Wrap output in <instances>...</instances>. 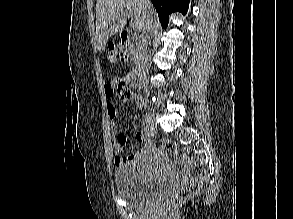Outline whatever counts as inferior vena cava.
Instances as JSON below:
<instances>
[{
  "instance_id": "1",
  "label": "inferior vena cava",
  "mask_w": 293,
  "mask_h": 219,
  "mask_svg": "<svg viewBox=\"0 0 293 219\" xmlns=\"http://www.w3.org/2000/svg\"><path fill=\"white\" fill-rule=\"evenodd\" d=\"M142 2L146 9H150L151 7L150 0H142ZM145 17H146L145 25L140 35V52H139V61L137 66V73L141 77H146L151 66V59L149 56V46L151 44L153 18L147 11H146Z\"/></svg>"
}]
</instances>
